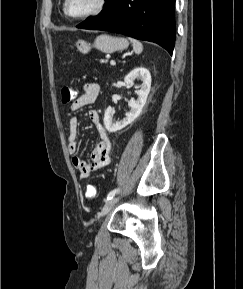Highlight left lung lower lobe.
Returning a JSON list of instances; mask_svg holds the SVG:
<instances>
[{
  "instance_id": "1",
  "label": "left lung lower lobe",
  "mask_w": 243,
  "mask_h": 289,
  "mask_svg": "<svg viewBox=\"0 0 243 289\" xmlns=\"http://www.w3.org/2000/svg\"><path fill=\"white\" fill-rule=\"evenodd\" d=\"M175 0H105L103 10L77 28L105 30L151 41L173 53Z\"/></svg>"
}]
</instances>
